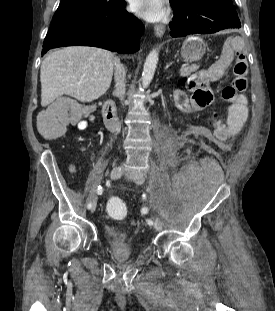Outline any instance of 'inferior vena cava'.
Listing matches in <instances>:
<instances>
[{"instance_id": "obj_1", "label": "inferior vena cava", "mask_w": 275, "mask_h": 311, "mask_svg": "<svg viewBox=\"0 0 275 311\" xmlns=\"http://www.w3.org/2000/svg\"><path fill=\"white\" fill-rule=\"evenodd\" d=\"M113 63L115 66V87L116 92L120 98L121 101L124 100V94H125V76L126 71L124 66L120 63V60L118 58H113Z\"/></svg>"}]
</instances>
